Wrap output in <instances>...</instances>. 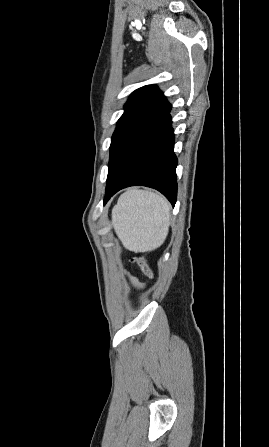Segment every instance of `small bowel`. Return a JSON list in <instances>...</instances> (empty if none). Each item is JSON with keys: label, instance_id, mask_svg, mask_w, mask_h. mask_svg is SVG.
<instances>
[{"label": "small bowel", "instance_id": "c3829d8e", "mask_svg": "<svg viewBox=\"0 0 269 447\" xmlns=\"http://www.w3.org/2000/svg\"><path fill=\"white\" fill-rule=\"evenodd\" d=\"M128 280L132 288L135 290H142L145 285L139 281L135 276L128 274Z\"/></svg>", "mask_w": 269, "mask_h": 447}]
</instances>
